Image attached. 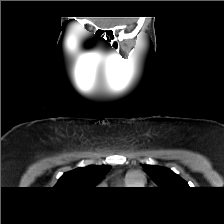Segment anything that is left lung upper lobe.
Instances as JSON below:
<instances>
[{"label": "left lung upper lobe", "mask_w": 224, "mask_h": 224, "mask_svg": "<svg viewBox=\"0 0 224 224\" xmlns=\"http://www.w3.org/2000/svg\"><path fill=\"white\" fill-rule=\"evenodd\" d=\"M142 166L160 188L176 190L189 187L186 181L168 168L146 164Z\"/></svg>", "instance_id": "5c2ea615"}]
</instances>
